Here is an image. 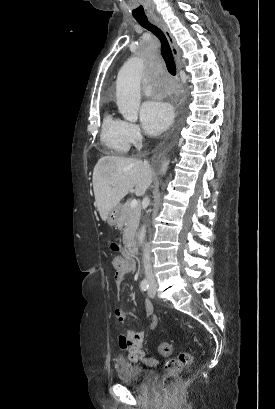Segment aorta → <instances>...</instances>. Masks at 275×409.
Segmentation results:
<instances>
[{
    "mask_svg": "<svg viewBox=\"0 0 275 409\" xmlns=\"http://www.w3.org/2000/svg\"><path fill=\"white\" fill-rule=\"evenodd\" d=\"M142 60L138 56L127 58L121 66L116 80V98L119 112L126 120L136 122L141 104L140 82L142 76ZM168 160L162 164V172L167 168ZM146 235L145 227H141L138 235L139 245H142Z\"/></svg>",
    "mask_w": 275,
    "mask_h": 409,
    "instance_id": "762f6f07",
    "label": "aorta"
}]
</instances>
